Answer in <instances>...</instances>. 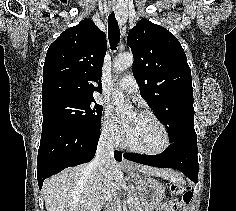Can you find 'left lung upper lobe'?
Segmentation results:
<instances>
[{"label":"left lung upper lobe","instance_id":"obj_1","mask_svg":"<svg viewBox=\"0 0 236 211\" xmlns=\"http://www.w3.org/2000/svg\"><path fill=\"white\" fill-rule=\"evenodd\" d=\"M133 74L143 98L168 130L170 142L197 145L191 71L178 39L162 26L142 19L129 31Z\"/></svg>","mask_w":236,"mask_h":211}]
</instances>
